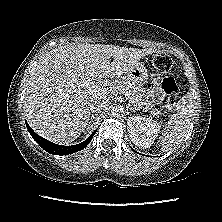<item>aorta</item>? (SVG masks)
<instances>
[{
    "label": "aorta",
    "mask_w": 222,
    "mask_h": 222,
    "mask_svg": "<svg viewBox=\"0 0 222 222\" xmlns=\"http://www.w3.org/2000/svg\"><path fill=\"white\" fill-rule=\"evenodd\" d=\"M123 113H124V108L121 105L114 106L111 109V114L114 117H121Z\"/></svg>",
    "instance_id": "aorta-1"
}]
</instances>
